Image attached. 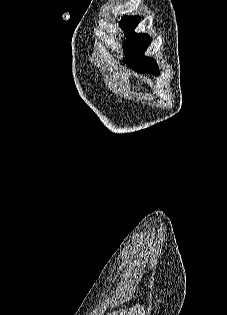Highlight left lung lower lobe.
I'll use <instances>...</instances> for the list:
<instances>
[{"label": "left lung lower lobe", "mask_w": 227, "mask_h": 315, "mask_svg": "<svg viewBox=\"0 0 227 315\" xmlns=\"http://www.w3.org/2000/svg\"><path fill=\"white\" fill-rule=\"evenodd\" d=\"M149 41H145L135 51L131 53L132 61L128 65L140 73L159 74L158 66L151 57H145L143 54L149 45Z\"/></svg>", "instance_id": "left-lung-lower-lobe-1"}]
</instances>
